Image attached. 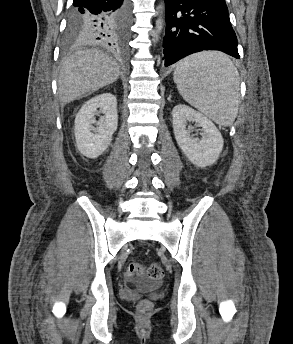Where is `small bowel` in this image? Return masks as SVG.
<instances>
[{"label":"small bowel","instance_id":"c3829d8e","mask_svg":"<svg viewBox=\"0 0 293 344\" xmlns=\"http://www.w3.org/2000/svg\"><path fill=\"white\" fill-rule=\"evenodd\" d=\"M126 286L121 289V295L125 297L126 299H134L136 298V289L131 286L132 283V276L126 274Z\"/></svg>","mask_w":293,"mask_h":344}]
</instances>
